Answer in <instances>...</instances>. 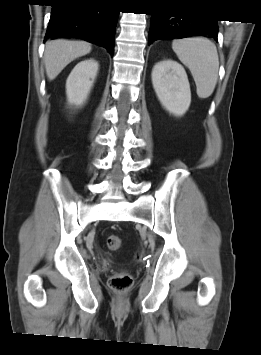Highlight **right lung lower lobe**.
Wrapping results in <instances>:
<instances>
[{
	"mask_svg": "<svg viewBox=\"0 0 261 355\" xmlns=\"http://www.w3.org/2000/svg\"><path fill=\"white\" fill-rule=\"evenodd\" d=\"M103 0H54L47 39L81 38L106 48L113 56L119 12Z\"/></svg>",
	"mask_w": 261,
	"mask_h": 355,
	"instance_id": "1",
	"label": "right lung lower lobe"
}]
</instances>
